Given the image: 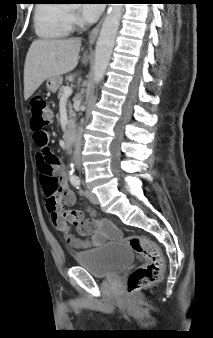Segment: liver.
<instances>
[{"label": "liver", "mask_w": 213, "mask_h": 338, "mask_svg": "<svg viewBox=\"0 0 213 338\" xmlns=\"http://www.w3.org/2000/svg\"><path fill=\"white\" fill-rule=\"evenodd\" d=\"M80 47L79 38L33 41L24 65V99L28 100L48 78L72 71L78 64Z\"/></svg>", "instance_id": "1"}]
</instances>
